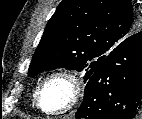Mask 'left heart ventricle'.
<instances>
[{
	"label": "left heart ventricle",
	"instance_id": "1",
	"mask_svg": "<svg viewBox=\"0 0 142 119\" xmlns=\"http://www.w3.org/2000/svg\"><path fill=\"white\" fill-rule=\"evenodd\" d=\"M70 97V86L64 80L51 81L45 88L42 96V105L47 109L63 107Z\"/></svg>",
	"mask_w": 142,
	"mask_h": 119
}]
</instances>
